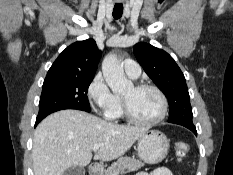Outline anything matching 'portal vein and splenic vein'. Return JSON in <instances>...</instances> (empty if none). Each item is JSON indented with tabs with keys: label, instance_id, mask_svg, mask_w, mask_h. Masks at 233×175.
<instances>
[{
	"label": "portal vein and splenic vein",
	"instance_id": "18ae733b",
	"mask_svg": "<svg viewBox=\"0 0 233 175\" xmlns=\"http://www.w3.org/2000/svg\"><path fill=\"white\" fill-rule=\"evenodd\" d=\"M100 147H101V144H95V145L93 146L92 150H93V151H97V150L100 149Z\"/></svg>",
	"mask_w": 233,
	"mask_h": 175
}]
</instances>
